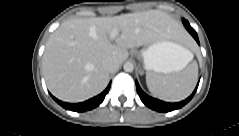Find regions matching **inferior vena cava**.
I'll use <instances>...</instances> for the list:
<instances>
[{"instance_id":"obj_1","label":"inferior vena cava","mask_w":239,"mask_h":136,"mask_svg":"<svg viewBox=\"0 0 239 136\" xmlns=\"http://www.w3.org/2000/svg\"><path fill=\"white\" fill-rule=\"evenodd\" d=\"M119 65H120L119 62L116 59H106L102 62L103 68L109 72L117 70Z\"/></svg>"}]
</instances>
